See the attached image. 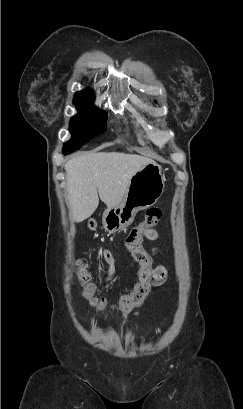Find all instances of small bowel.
<instances>
[{
    "label": "small bowel",
    "instance_id": "small-bowel-1",
    "mask_svg": "<svg viewBox=\"0 0 243 409\" xmlns=\"http://www.w3.org/2000/svg\"><path fill=\"white\" fill-rule=\"evenodd\" d=\"M144 235L150 241L157 240L159 236L158 232L153 228L146 230L144 232ZM102 257H103V260L106 262V264L109 266L108 275L105 278L106 281H109L112 278V275L114 273V258L112 256V253L109 250H104L102 252ZM137 261L140 263V270H139L140 282L137 284V286H144L149 291L152 285H159L165 281L167 277V269L163 264H159L152 272L151 271V263H152L151 257L144 256L143 259H137ZM139 307H140V304L132 306L127 310H122L121 318L123 320L126 319L127 314L132 309L139 308ZM135 315H138V312H136Z\"/></svg>",
    "mask_w": 243,
    "mask_h": 409
}]
</instances>
